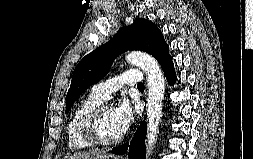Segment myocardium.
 Returning a JSON list of instances; mask_svg holds the SVG:
<instances>
[{
	"label": "myocardium",
	"mask_w": 253,
	"mask_h": 159,
	"mask_svg": "<svg viewBox=\"0 0 253 159\" xmlns=\"http://www.w3.org/2000/svg\"><path fill=\"white\" fill-rule=\"evenodd\" d=\"M109 107H112V105L108 102L100 103L93 109V111L89 114V116L86 119L83 128V136L91 146L109 147L117 145L124 138V133L111 140L105 139L101 135L100 131L101 117L103 112Z\"/></svg>",
	"instance_id": "obj_1"
}]
</instances>
